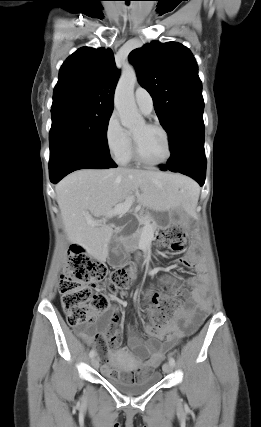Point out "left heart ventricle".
<instances>
[{"instance_id": "b2bd125f", "label": "left heart ventricle", "mask_w": 261, "mask_h": 427, "mask_svg": "<svg viewBox=\"0 0 261 427\" xmlns=\"http://www.w3.org/2000/svg\"><path fill=\"white\" fill-rule=\"evenodd\" d=\"M139 151L142 157L149 162L162 161L167 155V144L163 133L154 128H149L145 123L133 129Z\"/></svg>"}]
</instances>
